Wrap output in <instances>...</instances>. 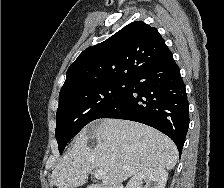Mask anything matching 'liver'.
Wrapping results in <instances>:
<instances>
[{"label":"liver","instance_id":"6515ba94","mask_svg":"<svg viewBox=\"0 0 224 188\" xmlns=\"http://www.w3.org/2000/svg\"><path fill=\"white\" fill-rule=\"evenodd\" d=\"M96 146H88L89 138ZM178 160L174 142L149 126L119 119H100L76 137L51 174V185L76 188L84 185L92 170H102L105 188L118 186L138 172L162 167L171 170Z\"/></svg>","mask_w":224,"mask_h":188}]
</instances>
